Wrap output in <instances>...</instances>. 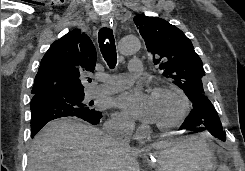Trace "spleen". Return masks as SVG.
Here are the masks:
<instances>
[{"instance_id":"spleen-1","label":"spleen","mask_w":245,"mask_h":171,"mask_svg":"<svg viewBox=\"0 0 245 171\" xmlns=\"http://www.w3.org/2000/svg\"><path fill=\"white\" fill-rule=\"evenodd\" d=\"M217 171H230V170H229V168L225 164H221L218 167V170Z\"/></svg>"}]
</instances>
